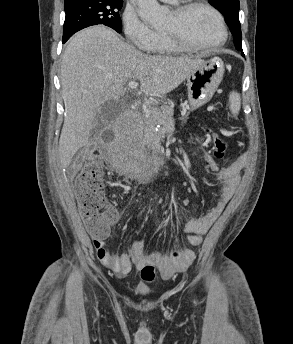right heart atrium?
<instances>
[{
  "label": "right heart atrium",
  "mask_w": 293,
  "mask_h": 344,
  "mask_svg": "<svg viewBox=\"0 0 293 344\" xmlns=\"http://www.w3.org/2000/svg\"><path fill=\"white\" fill-rule=\"evenodd\" d=\"M122 30L131 46L138 51H149L159 37V32L155 31L131 7H126L123 11Z\"/></svg>",
  "instance_id": "d8ad5b80"
}]
</instances>
